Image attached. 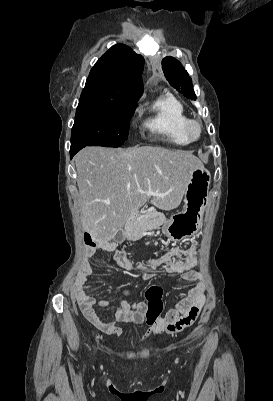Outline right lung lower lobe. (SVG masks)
Segmentation results:
<instances>
[{"label":"right lung lower lobe","instance_id":"right-lung-lower-lobe-1","mask_svg":"<svg viewBox=\"0 0 273 401\" xmlns=\"http://www.w3.org/2000/svg\"><path fill=\"white\" fill-rule=\"evenodd\" d=\"M84 145L81 146H72L70 148V158H72L79 150H81L82 148H84Z\"/></svg>","mask_w":273,"mask_h":401}]
</instances>
